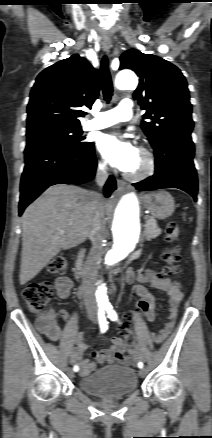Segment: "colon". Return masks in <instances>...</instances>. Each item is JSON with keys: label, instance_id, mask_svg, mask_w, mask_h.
Listing matches in <instances>:
<instances>
[{"label": "colon", "instance_id": "5ec220e1", "mask_svg": "<svg viewBox=\"0 0 212 438\" xmlns=\"http://www.w3.org/2000/svg\"><path fill=\"white\" fill-rule=\"evenodd\" d=\"M179 234V227L176 223H169L165 230L166 246L162 252V260L165 262L159 271V276H167L177 274L180 271L179 266V249L176 240ZM67 267V258L65 255H57L49 262L48 270L53 274H60L65 271ZM23 298L28 309L35 314H40L43 318H48L45 308L53 295V289L49 283L45 282H31L23 289ZM136 313L147 319L154 310V297L152 294H146L139 298L136 303ZM125 331L124 340L125 345L132 347L135 342V335L132 329L133 315L128 313L125 316Z\"/></svg>", "mask_w": 212, "mask_h": 438}]
</instances>
